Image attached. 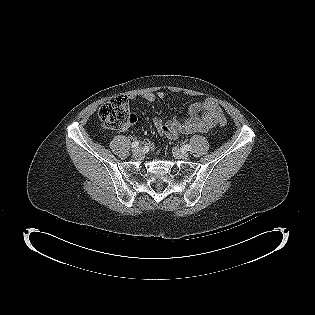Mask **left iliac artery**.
I'll return each instance as SVG.
<instances>
[{"label":"left iliac artery","instance_id":"obj_1","mask_svg":"<svg viewBox=\"0 0 315 315\" xmlns=\"http://www.w3.org/2000/svg\"><path fill=\"white\" fill-rule=\"evenodd\" d=\"M184 149L187 150V151H189V150L191 149V146H190L189 144H186V145L184 146Z\"/></svg>","mask_w":315,"mask_h":315}]
</instances>
